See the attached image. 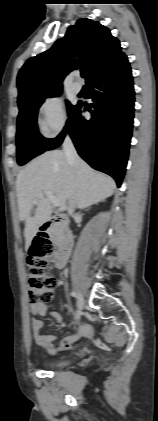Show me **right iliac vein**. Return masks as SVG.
<instances>
[{"instance_id": "obj_1", "label": "right iliac vein", "mask_w": 158, "mask_h": 421, "mask_svg": "<svg viewBox=\"0 0 158 421\" xmlns=\"http://www.w3.org/2000/svg\"><path fill=\"white\" fill-rule=\"evenodd\" d=\"M77 295H78L77 296L78 309L82 310L83 307H84V297H83L82 293L79 292V291H78Z\"/></svg>"}]
</instances>
